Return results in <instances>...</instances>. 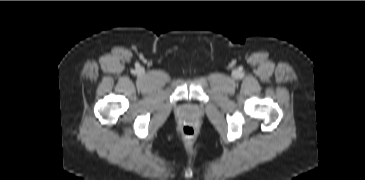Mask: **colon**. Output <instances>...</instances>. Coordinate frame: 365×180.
Masks as SVG:
<instances>
[{
  "mask_svg": "<svg viewBox=\"0 0 365 180\" xmlns=\"http://www.w3.org/2000/svg\"><path fill=\"white\" fill-rule=\"evenodd\" d=\"M183 134H184L185 137L190 138L194 134V129L190 125H185L183 127Z\"/></svg>",
  "mask_w": 365,
  "mask_h": 180,
  "instance_id": "colon-1",
  "label": "colon"
}]
</instances>
